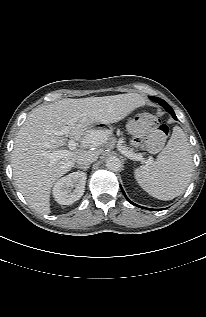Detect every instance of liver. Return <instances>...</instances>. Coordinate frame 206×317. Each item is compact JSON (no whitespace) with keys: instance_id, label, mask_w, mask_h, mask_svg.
I'll use <instances>...</instances> for the list:
<instances>
[{"instance_id":"obj_1","label":"liver","mask_w":206,"mask_h":317,"mask_svg":"<svg viewBox=\"0 0 206 317\" xmlns=\"http://www.w3.org/2000/svg\"><path fill=\"white\" fill-rule=\"evenodd\" d=\"M144 98L137 93L103 97L63 99L35 108L28 115L15 138L11 155L13 178L29 205L38 213H50V193L53 184L74 167L87 146L95 147L105 142L101 136H90L94 124L116 123L136 108L143 106ZM63 126L67 134L60 135ZM67 137L82 140V149L69 156L52 161L47 154L64 146Z\"/></svg>"}]
</instances>
